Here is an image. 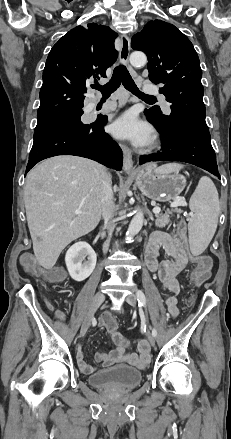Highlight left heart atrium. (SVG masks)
I'll list each match as a JSON object with an SVG mask.
<instances>
[{"mask_svg":"<svg viewBox=\"0 0 231 439\" xmlns=\"http://www.w3.org/2000/svg\"><path fill=\"white\" fill-rule=\"evenodd\" d=\"M111 131L116 137L129 139L136 145H146L152 140L150 126L140 121L132 111L120 116L112 124Z\"/></svg>","mask_w":231,"mask_h":439,"instance_id":"obj_1","label":"left heart atrium"}]
</instances>
